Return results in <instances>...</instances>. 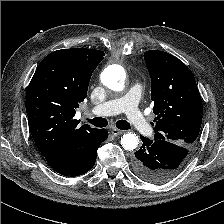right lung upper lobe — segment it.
Returning a JSON list of instances; mask_svg holds the SVG:
<instances>
[{"mask_svg": "<svg viewBox=\"0 0 224 224\" xmlns=\"http://www.w3.org/2000/svg\"><path fill=\"white\" fill-rule=\"evenodd\" d=\"M104 55L85 48L54 51L41 61L30 81L26 95L30 132L54 170L70 163L99 131L89 125L78 127L74 116Z\"/></svg>", "mask_w": 224, "mask_h": 224, "instance_id": "cb5924a9", "label": "right lung upper lobe"}]
</instances>
